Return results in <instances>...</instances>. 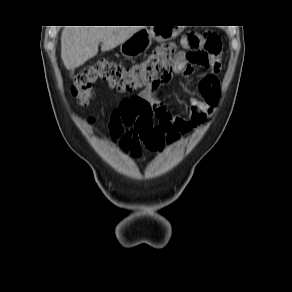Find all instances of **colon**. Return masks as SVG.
I'll use <instances>...</instances> for the list:
<instances>
[{
  "mask_svg": "<svg viewBox=\"0 0 292 292\" xmlns=\"http://www.w3.org/2000/svg\"><path fill=\"white\" fill-rule=\"evenodd\" d=\"M182 42L189 50L184 54L178 52L174 45L164 44L146 59L134 64L98 60L84 67L75 76L72 94L81 105H88L94 98L98 82H104L121 92L145 87L140 94L121 101L111 115L109 132L113 138H120L124 128L134 126L140 131L144 147L148 151H160L163 135L155 126V119L162 103V82L168 80L174 71L189 72L191 64L201 59L204 51L221 44L214 33L200 35L190 32L184 35Z\"/></svg>",
  "mask_w": 292,
  "mask_h": 292,
  "instance_id": "5ec220e1",
  "label": "colon"
}]
</instances>
